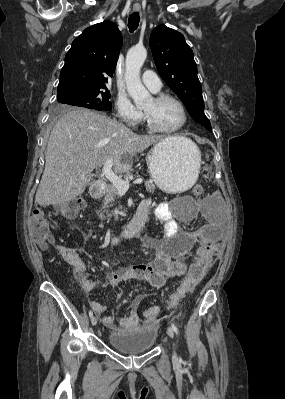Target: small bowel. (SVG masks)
Listing matches in <instances>:
<instances>
[{
  "label": "small bowel",
  "mask_w": 285,
  "mask_h": 399,
  "mask_svg": "<svg viewBox=\"0 0 285 399\" xmlns=\"http://www.w3.org/2000/svg\"><path fill=\"white\" fill-rule=\"evenodd\" d=\"M152 204V198L148 197L144 198L139 206H146L149 214ZM216 204L217 201L213 196L201 200L183 220L191 222L195 216L202 215L206 220L205 224L196 230H185L180 227V221L172 213L167 201L155 203L153 214L161 226V236L151 241L154 251L151 263L120 269L105 279L91 280L87 274H84L81 279L84 290L90 293L98 285L115 286L123 282L143 283L159 289L168 279H184L189 266L187 259L192 252L199 261L205 258L208 249H214L213 254L216 255L220 246L219 227L222 216ZM66 217L69 218L68 215ZM62 252H69L68 260L78 270L84 269L85 264L80 256L70 252L66 247H62ZM190 291L191 288L183 294H179V290L173 292L168 300L169 307L179 304ZM141 298V295L134 296L127 314L116 320L107 314L108 307L105 304L90 301V306L107 328L114 331L130 330L139 326L136 308Z\"/></svg>",
  "instance_id": "obj_1"
}]
</instances>
